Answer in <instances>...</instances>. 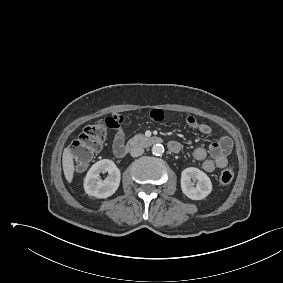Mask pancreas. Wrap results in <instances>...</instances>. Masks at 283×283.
Instances as JSON below:
<instances>
[{
    "label": "pancreas",
    "instance_id": "cf45deb5",
    "mask_svg": "<svg viewBox=\"0 0 283 283\" xmlns=\"http://www.w3.org/2000/svg\"><path fill=\"white\" fill-rule=\"evenodd\" d=\"M136 137H137V138H143L144 135H142V134H137Z\"/></svg>",
    "mask_w": 283,
    "mask_h": 283
}]
</instances>
